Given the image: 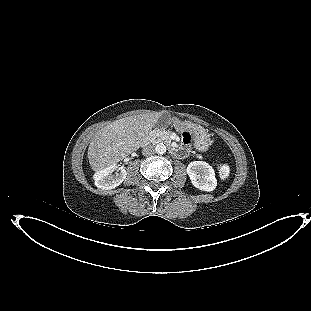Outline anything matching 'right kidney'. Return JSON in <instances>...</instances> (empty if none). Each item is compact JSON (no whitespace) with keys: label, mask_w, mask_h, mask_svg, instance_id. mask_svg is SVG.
<instances>
[{"label":"right kidney","mask_w":311,"mask_h":311,"mask_svg":"<svg viewBox=\"0 0 311 311\" xmlns=\"http://www.w3.org/2000/svg\"><path fill=\"white\" fill-rule=\"evenodd\" d=\"M117 170L114 174L113 172ZM127 172L124 168L110 165L94 175L95 185L103 190L114 189L119 186L126 178Z\"/></svg>","instance_id":"obj_1"}]
</instances>
